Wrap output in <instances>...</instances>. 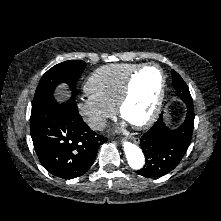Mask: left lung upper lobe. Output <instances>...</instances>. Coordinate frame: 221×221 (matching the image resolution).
I'll list each match as a JSON object with an SVG mask.
<instances>
[{
	"label": "left lung upper lobe",
	"instance_id": "left-lung-upper-lobe-1",
	"mask_svg": "<svg viewBox=\"0 0 221 221\" xmlns=\"http://www.w3.org/2000/svg\"><path fill=\"white\" fill-rule=\"evenodd\" d=\"M172 76L173 87L177 90L178 97H180L183 101H192L189 89L181 76L174 70H172Z\"/></svg>",
	"mask_w": 221,
	"mask_h": 221
}]
</instances>
